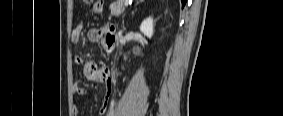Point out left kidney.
Listing matches in <instances>:
<instances>
[{"mask_svg":"<svg viewBox=\"0 0 283 116\" xmlns=\"http://www.w3.org/2000/svg\"><path fill=\"white\" fill-rule=\"evenodd\" d=\"M140 31L148 38L153 36L154 23L152 17H148L141 23Z\"/></svg>","mask_w":283,"mask_h":116,"instance_id":"5707ae66","label":"left kidney"}]
</instances>
